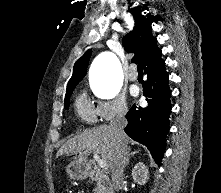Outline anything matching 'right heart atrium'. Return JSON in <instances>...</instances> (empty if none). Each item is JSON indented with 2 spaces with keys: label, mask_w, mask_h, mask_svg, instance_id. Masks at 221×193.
<instances>
[{
  "label": "right heart atrium",
  "mask_w": 221,
  "mask_h": 193,
  "mask_svg": "<svg viewBox=\"0 0 221 193\" xmlns=\"http://www.w3.org/2000/svg\"><path fill=\"white\" fill-rule=\"evenodd\" d=\"M97 117L103 122H110L116 118L124 117L128 107L124 96L115 95L107 100H99L95 106Z\"/></svg>",
  "instance_id": "1"
}]
</instances>
